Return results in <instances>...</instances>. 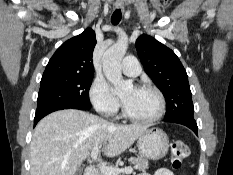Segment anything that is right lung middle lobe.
Instances as JSON below:
<instances>
[{
  "instance_id": "right-lung-middle-lobe-1",
  "label": "right lung middle lobe",
  "mask_w": 233,
  "mask_h": 175,
  "mask_svg": "<svg viewBox=\"0 0 233 175\" xmlns=\"http://www.w3.org/2000/svg\"><path fill=\"white\" fill-rule=\"evenodd\" d=\"M94 74L42 78L36 113L54 107L90 109L89 89Z\"/></svg>"
}]
</instances>
